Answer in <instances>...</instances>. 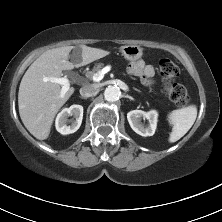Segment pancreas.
Instances as JSON below:
<instances>
[{"mask_svg":"<svg viewBox=\"0 0 222 222\" xmlns=\"http://www.w3.org/2000/svg\"><path fill=\"white\" fill-rule=\"evenodd\" d=\"M103 67L102 63L97 64L91 71L86 73V77L89 79L93 78V75L101 70Z\"/></svg>","mask_w":222,"mask_h":222,"instance_id":"cf45deb5","label":"pancreas"}]
</instances>
